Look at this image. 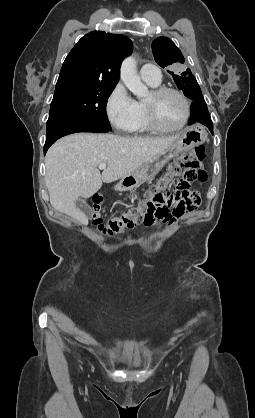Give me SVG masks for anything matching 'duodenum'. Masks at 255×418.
<instances>
[{
	"instance_id": "410a0bca",
	"label": "duodenum",
	"mask_w": 255,
	"mask_h": 418,
	"mask_svg": "<svg viewBox=\"0 0 255 418\" xmlns=\"http://www.w3.org/2000/svg\"><path fill=\"white\" fill-rule=\"evenodd\" d=\"M122 187H123V184L122 183H118L117 186H116L117 189H120Z\"/></svg>"
}]
</instances>
